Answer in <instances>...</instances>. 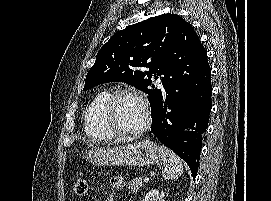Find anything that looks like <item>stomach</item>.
<instances>
[{"mask_svg":"<svg viewBox=\"0 0 271 201\" xmlns=\"http://www.w3.org/2000/svg\"><path fill=\"white\" fill-rule=\"evenodd\" d=\"M83 157L97 166H152L162 158L159 147L150 140L127 146L95 147L87 150Z\"/></svg>","mask_w":271,"mask_h":201,"instance_id":"1","label":"stomach"}]
</instances>
